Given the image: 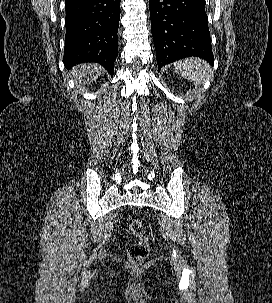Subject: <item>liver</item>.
<instances>
[{
	"label": "liver",
	"instance_id": "1",
	"mask_svg": "<svg viewBox=\"0 0 272 303\" xmlns=\"http://www.w3.org/2000/svg\"><path fill=\"white\" fill-rule=\"evenodd\" d=\"M103 67L95 63H85L74 67L71 71L75 81L90 84L102 74Z\"/></svg>",
	"mask_w": 272,
	"mask_h": 303
}]
</instances>
